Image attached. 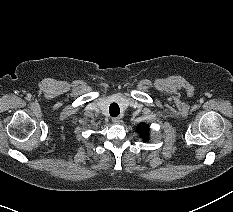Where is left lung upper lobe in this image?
Listing matches in <instances>:
<instances>
[{"label":"left lung upper lobe","mask_w":233,"mask_h":212,"mask_svg":"<svg viewBox=\"0 0 233 212\" xmlns=\"http://www.w3.org/2000/svg\"><path fill=\"white\" fill-rule=\"evenodd\" d=\"M137 132L140 133V137H143L144 140H147V135L149 132V128L146 124H140L137 126Z\"/></svg>","instance_id":"left-lung-upper-lobe-1"}]
</instances>
